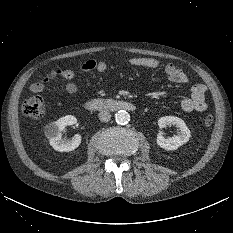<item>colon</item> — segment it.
Returning a JSON list of instances; mask_svg holds the SVG:
<instances>
[{
  "instance_id": "colon-1",
  "label": "colon",
  "mask_w": 233,
  "mask_h": 233,
  "mask_svg": "<svg viewBox=\"0 0 233 233\" xmlns=\"http://www.w3.org/2000/svg\"><path fill=\"white\" fill-rule=\"evenodd\" d=\"M22 113L30 118H40L44 114L45 105L41 96L35 95L26 99L22 104ZM214 121L211 114H207L203 122L206 126H210Z\"/></svg>"
}]
</instances>
